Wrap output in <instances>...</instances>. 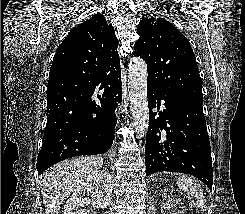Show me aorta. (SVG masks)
Instances as JSON below:
<instances>
[{"mask_svg":"<svg viewBox=\"0 0 245 214\" xmlns=\"http://www.w3.org/2000/svg\"><path fill=\"white\" fill-rule=\"evenodd\" d=\"M128 92L133 127L137 136H144L149 127V109L147 102V66L143 59H131L128 69Z\"/></svg>","mask_w":245,"mask_h":214,"instance_id":"obj_1","label":"aorta"}]
</instances>
